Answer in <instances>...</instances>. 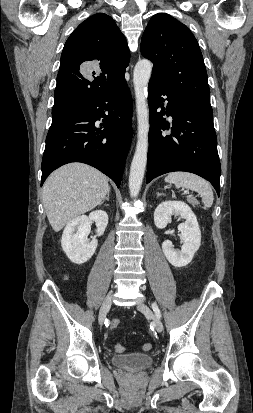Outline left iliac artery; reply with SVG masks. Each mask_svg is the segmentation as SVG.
<instances>
[{
  "label": "left iliac artery",
  "mask_w": 253,
  "mask_h": 413,
  "mask_svg": "<svg viewBox=\"0 0 253 413\" xmlns=\"http://www.w3.org/2000/svg\"><path fill=\"white\" fill-rule=\"evenodd\" d=\"M152 308H153L154 312L156 313V315L160 318L161 315H160V311H159L157 305L152 304Z\"/></svg>",
  "instance_id": "obj_1"
}]
</instances>
